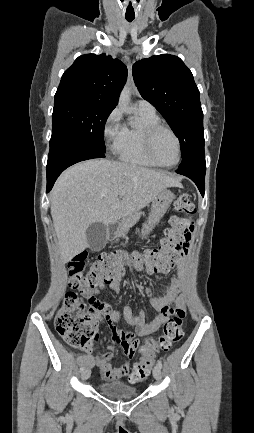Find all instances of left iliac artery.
Segmentation results:
<instances>
[{
    "instance_id": "44dca946",
    "label": "left iliac artery",
    "mask_w": 254,
    "mask_h": 433,
    "mask_svg": "<svg viewBox=\"0 0 254 433\" xmlns=\"http://www.w3.org/2000/svg\"><path fill=\"white\" fill-rule=\"evenodd\" d=\"M157 365H158L160 368H162V362H161V360H158V361H157Z\"/></svg>"
}]
</instances>
